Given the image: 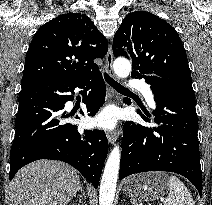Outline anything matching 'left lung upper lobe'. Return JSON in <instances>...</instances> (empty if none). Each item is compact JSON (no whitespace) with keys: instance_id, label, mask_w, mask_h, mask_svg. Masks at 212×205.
Returning a JSON list of instances; mask_svg holds the SVG:
<instances>
[{"instance_id":"1","label":"left lung upper lobe","mask_w":212,"mask_h":205,"mask_svg":"<svg viewBox=\"0 0 212 205\" xmlns=\"http://www.w3.org/2000/svg\"><path fill=\"white\" fill-rule=\"evenodd\" d=\"M113 53L131 59L133 78L157 75L192 84L178 33L152 13L136 11L124 18L113 39Z\"/></svg>"}]
</instances>
